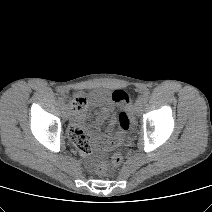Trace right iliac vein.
I'll use <instances>...</instances> for the list:
<instances>
[{
  "label": "right iliac vein",
  "instance_id": "right-iliac-vein-1",
  "mask_svg": "<svg viewBox=\"0 0 212 212\" xmlns=\"http://www.w3.org/2000/svg\"><path fill=\"white\" fill-rule=\"evenodd\" d=\"M62 112H63V116H64V118L66 119V120H68L69 119V117H70V111H69V108L67 107V105H63L62 106Z\"/></svg>",
  "mask_w": 212,
  "mask_h": 212
}]
</instances>
